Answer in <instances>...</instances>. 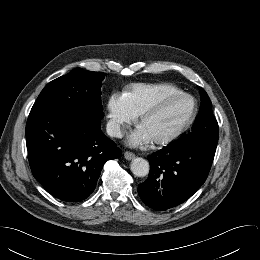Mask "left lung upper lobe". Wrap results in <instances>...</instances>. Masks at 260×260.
<instances>
[{
  "instance_id": "5c2ea615",
  "label": "left lung upper lobe",
  "mask_w": 260,
  "mask_h": 260,
  "mask_svg": "<svg viewBox=\"0 0 260 260\" xmlns=\"http://www.w3.org/2000/svg\"><path fill=\"white\" fill-rule=\"evenodd\" d=\"M202 103L199 117L191 133L179 139L180 144H200L216 147L218 143V123L212 113V103L205 90L199 87Z\"/></svg>"
}]
</instances>
